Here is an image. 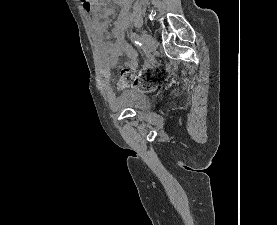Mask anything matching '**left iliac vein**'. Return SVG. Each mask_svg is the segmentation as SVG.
<instances>
[{
    "label": "left iliac vein",
    "mask_w": 277,
    "mask_h": 225,
    "mask_svg": "<svg viewBox=\"0 0 277 225\" xmlns=\"http://www.w3.org/2000/svg\"><path fill=\"white\" fill-rule=\"evenodd\" d=\"M141 43L144 49L149 53L153 52L156 49V40L147 33L143 32L141 34Z\"/></svg>",
    "instance_id": "1"
}]
</instances>
